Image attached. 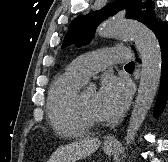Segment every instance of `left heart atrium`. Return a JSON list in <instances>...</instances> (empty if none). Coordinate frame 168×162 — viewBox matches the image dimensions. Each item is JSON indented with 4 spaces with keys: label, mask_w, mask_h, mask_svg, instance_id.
Listing matches in <instances>:
<instances>
[{
    "label": "left heart atrium",
    "mask_w": 168,
    "mask_h": 162,
    "mask_svg": "<svg viewBox=\"0 0 168 162\" xmlns=\"http://www.w3.org/2000/svg\"><path fill=\"white\" fill-rule=\"evenodd\" d=\"M131 91L126 80L105 76L97 93V108L102 120H113L126 109Z\"/></svg>",
    "instance_id": "1"
}]
</instances>
